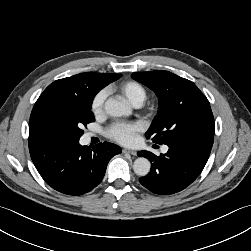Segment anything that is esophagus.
Wrapping results in <instances>:
<instances>
[{"instance_id":"34e87169","label":"esophagus","mask_w":251,"mask_h":251,"mask_svg":"<svg viewBox=\"0 0 251 251\" xmlns=\"http://www.w3.org/2000/svg\"><path fill=\"white\" fill-rule=\"evenodd\" d=\"M122 152L125 153V154H131V155H133V156L136 155V151L131 150V149H127V148H124V149L122 150Z\"/></svg>"}]
</instances>
